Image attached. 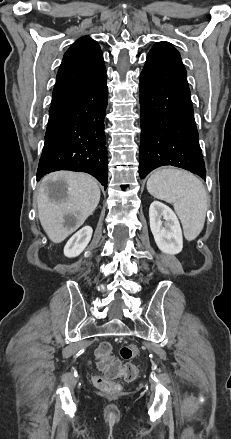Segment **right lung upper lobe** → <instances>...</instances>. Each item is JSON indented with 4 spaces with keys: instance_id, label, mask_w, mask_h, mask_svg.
Instances as JSON below:
<instances>
[{
    "instance_id": "obj_1",
    "label": "right lung upper lobe",
    "mask_w": 231,
    "mask_h": 439,
    "mask_svg": "<svg viewBox=\"0 0 231 439\" xmlns=\"http://www.w3.org/2000/svg\"><path fill=\"white\" fill-rule=\"evenodd\" d=\"M106 73L101 49L90 37L78 39L64 54L52 101L64 97Z\"/></svg>"
}]
</instances>
